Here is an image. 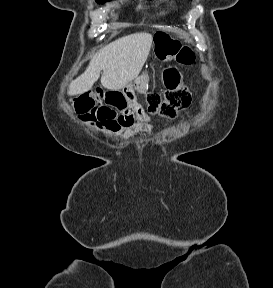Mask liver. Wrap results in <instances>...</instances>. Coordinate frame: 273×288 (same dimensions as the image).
Segmentation results:
<instances>
[{"label":"liver","instance_id":"6515ba94","mask_svg":"<svg viewBox=\"0 0 273 288\" xmlns=\"http://www.w3.org/2000/svg\"><path fill=\"white\" fill-rule=\"evenodd\" d=\"M153 36L146 32L119 38L104 46L91 59L87 69L69 85L68 95H81L99 79L108 90H120L139 75L149 55Z\"/></svg>","mask_w":273,"mask_h":288}]
</instances>
